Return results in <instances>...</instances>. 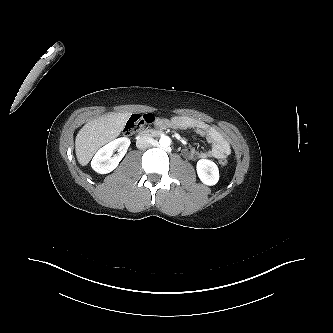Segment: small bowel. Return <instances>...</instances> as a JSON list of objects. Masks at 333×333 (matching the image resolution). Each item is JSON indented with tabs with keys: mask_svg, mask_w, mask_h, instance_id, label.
<instances>
[{
	"mask_svg": "<svg viewBox=\"0 0 333 333\" xmlns=\"http://www.w3.org/2000/svg\"><path fill=\"white\" fill-rule=\"evenodd\" d=\"M154 125L157 128H173L181 130H192L196 134L205 137L211 147L206 151H200L193 147L183 150L185 158L190 160H200L206 158H220L227 156L231 147L226 137L214 126L191 117L173 116L169 119L156 118Z\"/></svg>",
	"mask_w": 333,
	"mask_h": 333,
	"instance_id": "1",
	"label": "small bowel"
}]
</instances>
